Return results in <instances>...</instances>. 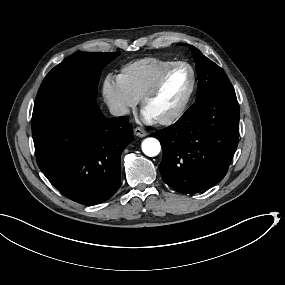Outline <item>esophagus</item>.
I'll use <instances>...</instances> for the list:
<instances>
[{
    "label": "esophagus",
    "mask_w": 285,
    "mask_h": 285,
    "mask_svg": "<svg viewBox=\"0 0 285 285\" xmlns=\"http://www.w3.org/2000/svg\"><path fill=\"white\" fill-rule=\"evenodd\" d=\"M134 133L138 137H145L148 133L142 127L138 126L134 129Z\"/></svg>",
    "instance_id": "obj_1"
}]
</instances>
